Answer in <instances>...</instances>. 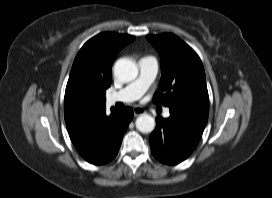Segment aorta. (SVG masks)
Listing matches in <instances>:
<instances>
[{
	"instance_id": "obj_1",
	"label": "aorta",
	"mask_w": 272,
	"mask_h": 198,
	"mask_svg": "<svg viewBox=\"0 0 272 198\" xmlns=\"http://www.w3.org/2000/svg\"><path fill=\"white\" fill-rule=\"evenodd\" d=\"M114 75L122 82H130L138 75L136 63L128 58L119 59L114 65ZM136 128L142 133H150L155 128V120L148 114H142L136 119Z\"/></svg>"
}]
</instances>
